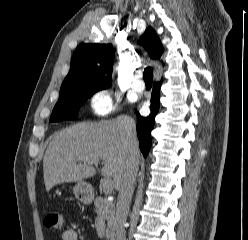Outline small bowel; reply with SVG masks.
I'll return each instance as SVG.
<instances>
[{"instance_id": "1", "label": "small bowel", "mask_w": 248, "mask_h": 240, "mask_svg": "<svg viewBox=\"0 0 248 240\" xmlns=\"http://www.w3.org/2000/svg\"><path fill=\"white\" fill-rule=\"evenodd\" d=\"M62 240H78V234L74 229H66L62 233Z\"/></svg>"}]
</instances>
